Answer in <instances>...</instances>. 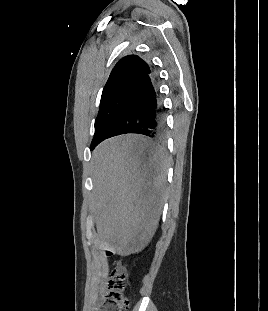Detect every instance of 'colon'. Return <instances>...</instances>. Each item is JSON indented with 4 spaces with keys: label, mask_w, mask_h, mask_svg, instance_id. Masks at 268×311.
Returning <instances> with one entry per match:
<instances>
[{
    "label": "colon",
    "mask_w": 268,
    "mask_h": 311,
    "mask_svg": "<svg viewBox=\"0 0 268 311\" xmlns=\"http://www.w3.org/2000/svg\"><path fill=\"white\" fill-rule=\"evenodd\" d=\"M126 288L125 271L117 264L106 283L104 302L99 311H126L129 306Z\"/></svg>",
    "instance_id": "1"
}]
</instances>
